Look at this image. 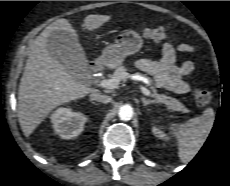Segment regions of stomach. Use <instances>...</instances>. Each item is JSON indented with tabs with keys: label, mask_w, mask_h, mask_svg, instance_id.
<instances>
[{
	"label": "stomach",
	"mask_w": 230,
	"mask_h": 186,
	"mask_svg": "<svg viewBox=\"0 0 230 186\" xmlns=\"http://www.w3.org/2000/svg\"><path fill=\"white\" fill-rule=\"evenodd\" d=\"M142 46L143 40L140 34L134 30H126L116 37L115 44L103 49L99 61L109 68H116L127 56L137 53Z\"/></svg>",
	"instance_id": "1"
}]
</instances>
